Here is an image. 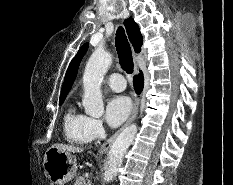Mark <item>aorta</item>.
<instances>
[{"label": "aorta", "instance_id": "obj_1", "mask_svg": "<svg viewBox=\"0 0 233 185\" xmlns=\"http://www.w3.org/2000/svg\"><path fill=\"white\" fill-rule=\"evenodd\" d=\"M112 63V56L108 52L97 49L88 60L83 74L84 95L82 104L85 113L99 118L104 113V103L101 93V82ZM138 131L137 125L125 128L113 142L105 166L104 180L111 182L117 175L126 150L133 142Z\"/></svg>", "mask_w": 233, "mask_h": 185}]
</instances>
